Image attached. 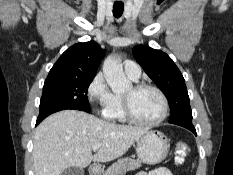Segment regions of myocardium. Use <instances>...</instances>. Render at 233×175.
<instances>
[{
	"instance_id": "myocardium-1",
	"label": "myocardium",
	"mask_w": 233,
	"mask_h": 175,
	"mask_svg": "<svg viewBox=\"0 0 233 175\" xmlns=\"http://www.w3.org/2000/svg\"><path fill=\"white\" fill-rule=\"evenodd\" d=\"M132 89L135 92H139V91L146 90V89L155 91L159 95V97L162 101V113L155 120H151V121L141 120V119L137 118L135 116V114L133 113L130 99L125 97V96H122L123 112H124L126 119L130 123L135 124V125H139V126L150 127V126L158 125L166 119V117L168 115V111H169V102H168V99H167L165 93L159 87L152 85V84H149V83H138V84L133 85Z\"/></svg>"
}]
</instances>
